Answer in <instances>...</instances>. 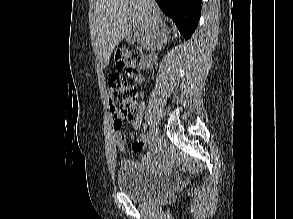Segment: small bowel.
<instances>
[{
	"instance_id": "c3829d8e",
	"label": "small bowel",
	"mask_w": 293,
	"mask_h": 219,
	"mask_svg": "<svg viewBox=\"0 0 293 219\" xmlns=\"http://www.w3.org/2000/svg\"><path fill=\"white\" fill-rule=\"evenodd\" d=\"M111 116L113 119V127L117 137V145L121 152L124 151L126 134L121 132V120L117 108L111 103ZM145 111V104L142 101L137 102V113L134 121L132 122V128H138L141 125ZM148 140L146 135H141L131 146V150L134 153L141 152L147 145ZM120 164L122 166L134 165L133 160L122 159Z\"/></svg>"
}]
</instances>
